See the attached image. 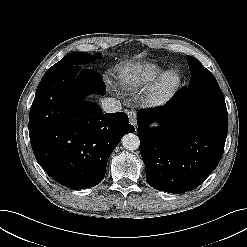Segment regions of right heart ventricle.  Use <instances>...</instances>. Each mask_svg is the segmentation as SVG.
Listing matches in <instances>:
<instances>
[{"mask_svg":"<svg viewBox=\"0 0 247 247\" xmlns=\"http://www.w3.org/2000/svg\"><path fill=\"white\" fill-rule=\"evenodd\" d=\"M164 73V69L155 63H136L121 72L120 84L125 90L137 91L146 88Z\"/></svg>","mask_w":247,"mask_h":247,"instance_id":"right-heart-ventricle-1","label":"right heart ventricle"}]
</instances>
